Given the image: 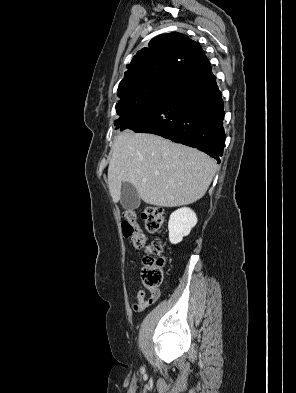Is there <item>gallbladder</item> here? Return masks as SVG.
Segmentation results:
<instances>
[{"mask_svg":"<svg viewBox=\"0 0 296 393\" xmlns=\"http://www.w3.org/2000/svg\"><path fill=\"white\" fill-rule=\"evenodd\" d=\"M120 203L126 210H134L139 207L140 197L132 184L128 182L122 184Z\"/></svg>","mask_w":296,"mask_h":393,"instance_id":"gallbladder-1","label":"gallbladder"}]
</instances>
